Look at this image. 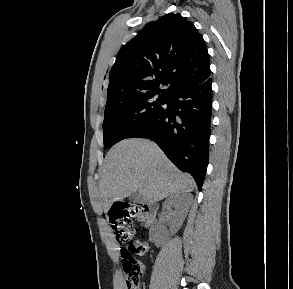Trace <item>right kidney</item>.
Instances as JSON below:
<instances>
[{
	"instance_id": "right-kidney-1",
	"label": "right kidney",
	"mask_w": 293,
	"mask_h": 289,
	"mask_svg": "<svg viewBox=\"0 0 293 289\" xmlns=\"http://www.w3.org/2000/svg\"><path fill=\"white\" fill-rule=\"evenodd\" d=\"M163 208L171 212L172 221L170 230L172 233H174L182 225L186 216L187 208H184L183 202L179 194H174L170 196L168 199H166V201L163 204Z\"/></svg>"
}]
</instances>
